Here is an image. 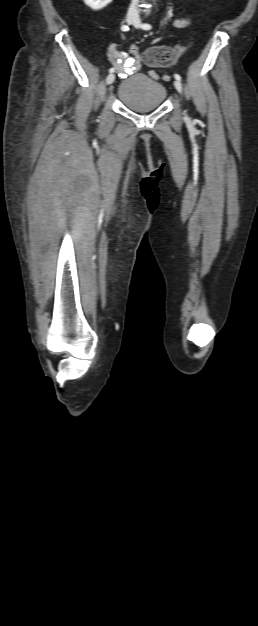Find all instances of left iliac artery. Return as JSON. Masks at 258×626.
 Here are the masks:
<instances>
[{"mask_svg":"<svg viewBox=\"0 0 258 626\" xmlns=\"http://www.w3.org/2000/svg\"><path fill=\"white\" fill-rule=\"evenodd\" d=\"M141 27H142L144 30H150V29L152 28V26H151L150 24H148V23H144V24H142V26H141ZM174 77H175L177 80H181V76H180L179 74H174Z\"/></svg>","mask_w":258,"mask_h":626,"instance_id":"left-iliac-artery-1","label":"left iliac artery"}]
</instances>
